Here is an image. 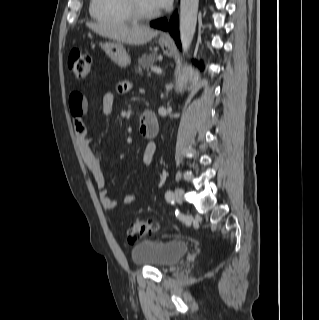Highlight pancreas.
Listing matches in <instances>:
<instances>
[{
	"label": "pancreas",
	"instance_id": "1",
	"mask_svg": "<svg viewBox=\"0 0 319 320\" xmlns=\"http://www.w3.org/2000/svg\"><path fill=\"white\" fill-rule=\"evenodd\" d=\"M157 59H158V56L156 53H152L149 55H146V54L142 55L138 59L136 72L141 73L142 68L152 67Z\"/></svg>",
	"mask_w": 319,
	"mask_h": 320
}]
</instances>
